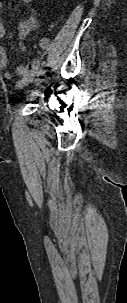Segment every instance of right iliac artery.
<instances>
[{
  "instance_id": "82829eb1",
  "label": "right iliac artery",
  "mask_w": 127,
  "mask_h": 303,
  "mask_svg": "<svg viewBox=\"0 0 127 303\" xmlns=\"http://www.w3.org/2000/svg\"><path fill=\"white\" fill-rule=\"evenodd\" d=\"M48 65L45 64L41 67V69L38 71V75L44 74L47 71Z\"/></svg>"
}]
</instances>
